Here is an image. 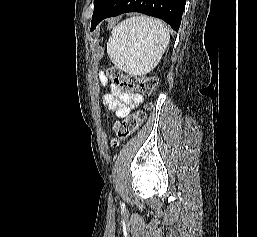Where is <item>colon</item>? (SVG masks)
Instances as JSON below:
<instances>
[{"label":"colon","mask_w":257,"mask_h":237,"mask_svg":"<svg viewBox=\"0 0 257 237\" xmlns=\"http://www.w3.org/2000/svg\"><path fill=\"white\" fill-rule=\"evenodd\" d=\"M108 76L116 87L127 93L139 92L149 95L154 93L159 87V80L155 76L129 75L116 67L108 70ZM145 118L146 114L144 111H137L135 114L115 123L113 129L116 137L111 140L112 146H118L120 140L126 139L135 132Z\"/></svg>","instance_id":"1"}]
</instances>
